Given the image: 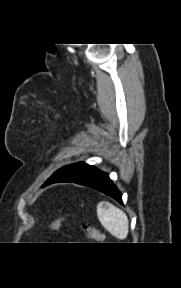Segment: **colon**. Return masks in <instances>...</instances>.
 Segmentation results:
<instances>
[{"label":"colon","instance_id":"obj_1","mask_svg":"<svg viewBox=\"0 0 181 288\" xmlns=\"http://www.w3.org/2000/svg\"><path fill=\"white\" fill-rule=\"evenodd\" d=\"M68 221V216L63 215L58 217L53 221V223L50 225L51 230L58 229L61 225L67 224ZM87 238L92 241H102L103 240V235L102 233L95 227L86 225L85 227Z\"/></svg>","mask_w":181,"mask_h":288}]
</instances>
